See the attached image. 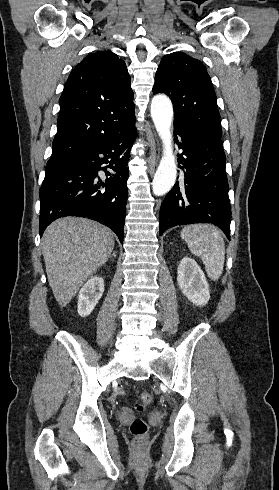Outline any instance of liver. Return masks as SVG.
<instances>
[{"label": "liver", "instance_id": "6515ba94", "mask_svg": "<svg viewBox=\"0 0 279 490\" xmlns=\"http://www.w3.org/2000/svg\"><path fill=\"white\" fill-rule=\"evenodd\" d=\"M114 234L87 218H60L46 228L42 254L49 286L60 308L106 264L114 248Z\"/></svg>", "mask_w": 279, "mask_h": 490}]
</instances>
